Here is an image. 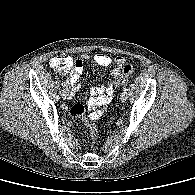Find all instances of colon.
Masks as SVG:
<instances>
[{
    "mask_svg": "<svg viewBox=\"0 0 195 195\" xmlns=\"http://www.w3.org/2000/svg\"><path fill=\"white\" fill-rule=\"evenodd\" d=\"M50 65L59 73L64 74V73H67L71 69L72 60L70 57L59 55V56L53 57L50 60ZM132 72H133V67L130 64L124 65L121 69V72L116 77V82H115L116 86H120L124 84L127 81L128 76ZM84 124L89 129L91 137L96 138L97 137L96 125L89 119H84Z\"/></svg>",
    "mask_w": 195,
    "mask_h": 195,
    "instance_id": "obj_1",
    "label": "colon"
}]
</instances>
